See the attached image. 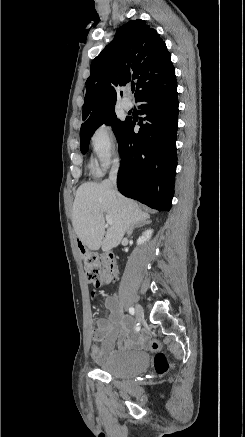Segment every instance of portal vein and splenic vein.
I'll return each instance as SVG.
<instances>
[{
  "instance_id": "1",
  "label": "portal vein and splenic vein",
  "mask_w": 245,
  "mask_h": 437,
  "mask_svg": "<svg viewBox=\"0 0 245 437\" xmlns=\"http://www.w3.org/2000/svg\"><path fill=\"white\" fill-rule=\"evenodd\" d=\"M106 221H107V224H109V225H111L113 223V221L109 215H106Z\"/></svg>"
}]
</instances>
